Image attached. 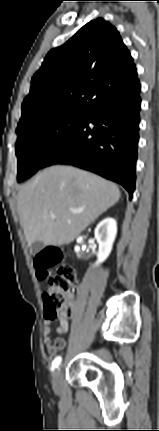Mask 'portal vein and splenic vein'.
<instances>
[{"label":"portal vein and splenic vein","instance_id":"1","mask_svg":"<svg viewBox=\"0 0 159 431\" xmlns=\"http://www.w3.org/2000/svg\"><path fill=\"white\" fill-rule=\"evenodd\" d=\"M84 211V209H73V210H71V212L72 213H81V212H83ZM50 217L52 218V219H54L56 216H55V214L54 213H51L50 214Z\"/></svg>","mask_w":159,"mask_h":431}]
</instances>
